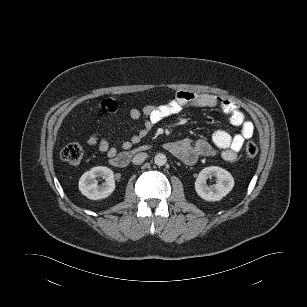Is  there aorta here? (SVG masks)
<instances>
[{
	"instance_id": "1",
	"label": "aorta",
	"mask_w": 307,
	"mask_h": 307,
	"mask_svg": "<svg viewBox=\"0 0 307 307\" xmlns=\"http://www.w3.org/2000/svg\"><path fill=\"white\" fill-rule=\"evenodd\" d=\"M167 158L164 154L158 153L154 157V162L157 166H163L166 164Z\"/></svg>"
}]
</instances>
